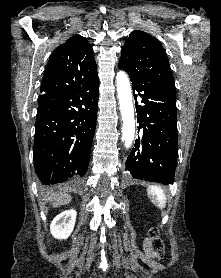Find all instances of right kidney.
I'll return each mask as SVG.
<instances>
[{
    "label": "right kidney",
    "instance_id": "1",
    "mask_svg": "<svg viewBox=\"0 0 221 278\" xmlns=\"http://www.w3.org/2000/svg\"><path fill=\"white\" fill-rule=\"evenodd\" d=\"M77 212L74 209L66 210L57 215L51 225V234L58 239H67L72 233Z\"/></svg>",
    "mask_w": 221,
    "mask_h": 278
}]
</instances>
